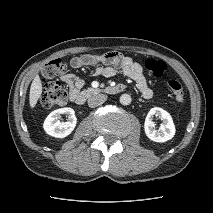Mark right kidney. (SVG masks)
Segmentation results:
<instances>
[{
  "instance_id": "right-kidney-1",
  "label": "right kidney",
  "mask_w": 213,
  "mask_h": 213,
  "mask_svg": "<svg viewBox=\"0 0 213 213\" xmlns=\"http://www.w3.org/2000/svg\"><path fill=\"white\" fill-rule=\"evenodd\" d=\"M61 114L67 116L66 122H60L58 119ZM77 118L72 108L65 107L52 111L44 121L43 128L46 133L56 138L68 136L75 128Z\"/></svg>"
}]
</instances>
